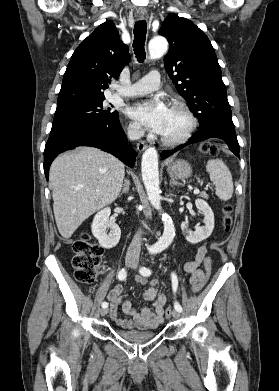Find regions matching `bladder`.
I'll list each match as a JSON object with an SVG mask.
<instances>
[{
    "label": "bladder",
    "instance_id": "bladder-1",
    "mask_svg": "<svg viewBox=\"0 0 279 391\" xmlns=\"http://www.w3.org/2000/svg\"><path fill=\"white\" fill-rule=\"evenodd\" d=\"M116 335L130 343L139 344L149 341L155 337L154 332H140V331H129V330H116Z\"/></svg>",
    "mask_w": 279,
    "mask_h": 391
}]
</instances>
